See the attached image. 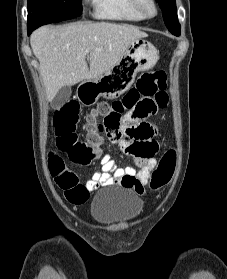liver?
<instances>
[{
    "instance_id": "liver-1",
    "label": "liver",
    "mask_w": 227,
    "mask_h": 279,
    "mask_svg": "<svg viewBox=\"0 0 227 279\" xmlns=\"http://www.w3.org/2000/svg\"><path fill=\"white\" fill-rule=\"evenodd\" d=\"M146 36L137 27L108 22H77L42 26L30 38L40 63V76L50 102L59 89L86 79H95L113 67L130 44ZM90 66L86 56L87 49Z\"/></svg>"
}]
</instances>
